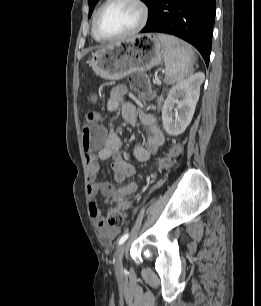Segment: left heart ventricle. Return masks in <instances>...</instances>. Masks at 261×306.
Segmentation results:
<instances>
[{
  "label": "left heart ventricle",
  "instance_id": "obj_1",
  "mask_svg": "<svg viewBox=\"0 0 261 306\" xmlns=\"http://www.w3.org/2000/svg\"><path fill=\"white\" fill-rule=\"evenodd\" d=\"M140 20L139 8L130 2L121 0L109 5L99 20L102 34L116 36L131 31Z\"/></svg>",
  "mask_w": 261,
  "mask_h": 306
}]
</instances>
